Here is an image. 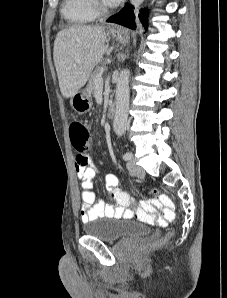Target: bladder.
Returning a JSON list of instances; mask_svg holds the SVG:
<instances>
[{
	"mask_svg": "<svg viewBox=\"0 0 227 298\" xmlns=\"http://www.w3.org/2000/svg\"><path fill=\"white\" fill-rule=\"evenodd\" d=\"M83 232L87 236L114 242L147 235L150 233V228L134 220L112 218L89 221L83 225Z\"/></svg>",
	"mask_w": 227,
	"mask_h": 298,
	"instance_id": "obj_1",
	"label": "bladder"
}]
</instances>
